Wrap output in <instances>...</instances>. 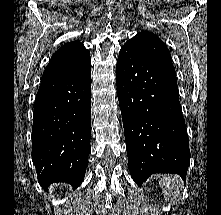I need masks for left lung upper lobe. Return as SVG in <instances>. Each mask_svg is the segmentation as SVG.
<instances>
[{"instance_id": "1", "label": "left lung upper lobe", "mask_w": 221, "mask_h": 215, "mask_svg": "<svg viewBox=\"0 0 221 215\" xmlns=\"http://www.w3.org/2000/svg\"><path fill=\"white\" fill-rule=\"evenodd\" d=\"M126 44L133 46L157 64L176 74L167 46L155 34L148 31H141L128 40Z\"/></svg>"}]
</instances>
